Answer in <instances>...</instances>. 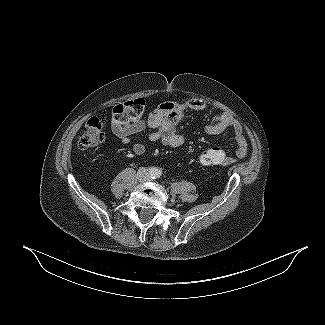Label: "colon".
I'll return each instance as SVG.
<instances>
[{
	"mask_svg": "<svg viewBox=\"0 0 325 325\" xmlns=\"http://www.w3.org/2000/svg\"><path fill=\"white\" fill-rule=\"evenodd\" d=\"M146 109L145 100L137 98L118 104L112 109L111 121L119 125H127L142 120ZM106 123L105 116L91 118L84 126L78 139V147L82 151L95 148L104 139L103 128ZM227 161L224 150L220 147H211L204 150L199 156L202 166L221 165Z\"/></svg>",
	"mask_w": 325,
	"mask_h": 325,
	"instance_id": "1",
	"label": "colon"
}]
</instances>
